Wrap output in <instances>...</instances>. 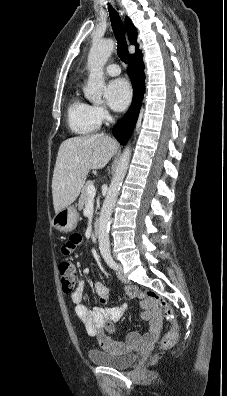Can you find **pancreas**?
Wrapping results in <instances>:
<instances>
[{
  "instance_id": "1",
  "label": "pancreas",
  "mask_w": 227,
  "mask_h": 396,
  "mask_svg": "<svg viewBox=\"0 0 227 396\" xmlns=\"http://www.w3.org/2000/svg\"><path fill=\"white\" fill-rule=\"evenodd\" d=\"M90 185H93V182L92 181H87L85 183V185L83 186L82 190H81V196H80L79 204H78L79 205V209H83L85 204H86V202H87V199L89 197V195L87 193V188Z\"/></svg>"
}]
</instances>
